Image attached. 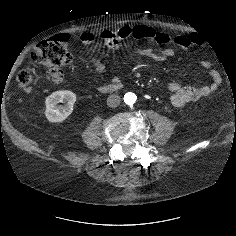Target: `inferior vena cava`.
<instances>
[{"instance_id":"inferior-vena-cava-1","label":"inferior vena cava","mask_w":236,"mask_h":236,"mask_svg":"<svg viewBox=\"0 0 236 236\" xmlns=\"http://www.w3.org/2000/svg\"><path fill=\"white\" fill-rule=\"evenodd\" d=\"M120 104V97L118 95L112 94L107 98V105L111 108H115Z\"/></svg>"}]
</instances>
